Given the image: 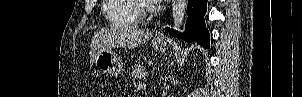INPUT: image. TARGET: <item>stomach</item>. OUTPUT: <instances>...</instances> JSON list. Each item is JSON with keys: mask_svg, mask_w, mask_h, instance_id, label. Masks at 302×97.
<instances>
[{"mask_svg": "<svg viewBox=\"0 0 302 97\" xmlns=\"http://www.w3.org/2000/svg\"><path fill=\"white\" fill-rule=\"evenodd\" d=\"M152 47L156 51L164 52L167 48V43L154 39L152 41ZM93 63L98 71L115 77L120 75L123 67L120 57L110 48L100 50L94 58Z\"/></svg>", "mask_w": 302, "mask_h": 97, "instance_id": "1", "label": "stomach"}]
</instances>
